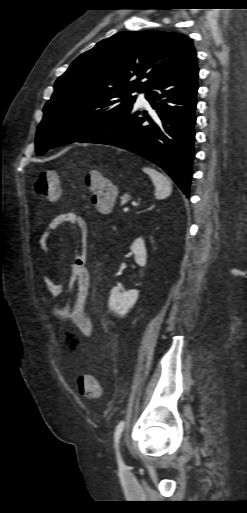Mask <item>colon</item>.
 <instances>
[{
  "mask_svg": "<svg viewBox=\"0 0 247 513\" xmlns=\"http://www.w3.org/2000/svg\"><path fill=\"white\" fill-rule=\"evenodd\" d=\"M87 193L100 212L108 211L116 201L114 187L98 172L86 178ZM62 191V179L54 170H44L38 174L32 186L33 194L38 198L56 201ZM77 387L86 397L96 398L102 393L101 383L94 377L83 375L77 378Z\"/></svg>",
  "mask_w": 247,
  "mask_h": 513,
  "instance_id": "obj_1",
  "label": "colon"
}]
</instances>
